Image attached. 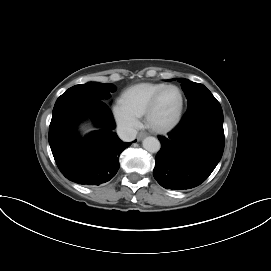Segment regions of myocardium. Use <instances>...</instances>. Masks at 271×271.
Instances as JSON below:
<instances>
[{
	"label": "myocardium",
	"instance_id": "myocardium-1",
	"mask_svg": "<svg viewBox=\"0 0 271 271\" xmlns=\"http://www.w3.org/2000/svg\"><path fill=\"white\" fill-rule=\"evenodd\" d=\"M168 89H175L178 91L179 96H180V105H179V108H178L176 115L174 116V118L170 122H168L164 125H158L153 121V115H154V112L158 106L160 98L162 97L164 92L167 91ZM184 104H185V99H184L183 91L176 85H173V84L165 85L152 97L151 101L149 102V104L146 108L145 114H144L145 121H146L147 125L153 131L158 132V133H166V132L172 130L179 123V121L182 117V114H183Z\"/></svg>",
	"mask_w": 271,
	"mask_h": 271
}]
</instances>
